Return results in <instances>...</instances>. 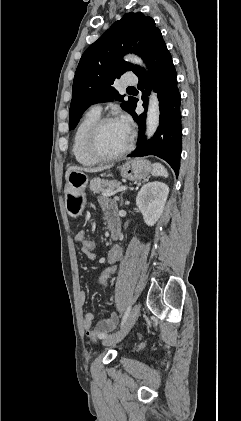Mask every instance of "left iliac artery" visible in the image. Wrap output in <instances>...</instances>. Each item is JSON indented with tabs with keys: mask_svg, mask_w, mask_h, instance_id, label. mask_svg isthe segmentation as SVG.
Masks as SVG:
<instances>
[{
	"mask_svg": "<svg viewBox=\"0 0 241 421\" xmlns=\"http://www.w3.org/2000/svg\"><path fill=\"white\" fill-rule=\"evenodd\" d=\"M130 311H131V306H128L127 309H126V311H125V313H124V315H123V318H122V322H121V326H120L121 328L123 327L124 323L126 322L128 316L130 314ZM110 336H112V335H108V336L106 335L103 338L106 339V338H108Z\"/></svg>",
	"mask_w": 241,
	"mask_h": 421,
	"instance_id": "1",
	"label": "left iliac artery"
}]
</instances>
